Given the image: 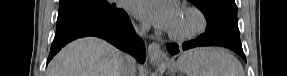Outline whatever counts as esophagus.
<instances>
[{
	"mask_svg": "<svg viewBox=\"0 0 287 76\" xmlns=\"http://www.w3.org/2000/svg\"><path fill=\"white\" fill-rule=\"evenodd\" d=\"M148 53L151 59L156 62H163L167 60L166 53L161 49V46L157 42H152L148 46Z\"/></svg>",
	"mask_w": 287,
	"mask_h": 76,
	"instance_id": "esophagus-1",
	"label": "esophagus"
}]
</instances>
